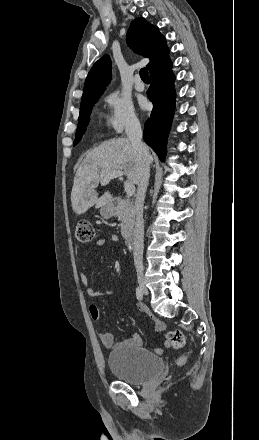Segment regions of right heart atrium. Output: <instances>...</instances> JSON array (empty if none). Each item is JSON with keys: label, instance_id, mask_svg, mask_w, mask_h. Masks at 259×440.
Returning <instances> with one entry per match:
<instances>
[{"label": "right heart atrium", "instance_id": "right-heart-atrium-1", "mask_svg": "<svg viewBox=\"0 0 259 440\" xmlns=\"http://www.w3.org/2000/svg\"><path fill=\"white\" fill-rule=\"evenodd\" d=\"M109 112L105 125L114 134H122L126 130L139 125V119L129 98L119 92H111L105 97Z\"/></svg>", "mask_w": 259, "mask_h": 440}]
</instances>
